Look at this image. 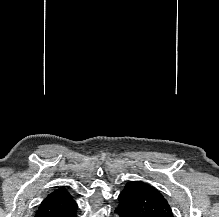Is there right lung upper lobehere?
<instances>
[{
    "label": "right lung upper lobe",
    "mask_w": 219,
    "mask_h": 217,
    "mask_svg": "<svg viewBox=\"0 0 219 217\" xmlns=\"http://www.w3.org/2000/svg\"><path fill=\"white\" fill-rule=\"evenodd\" d=\"M76 208L67 189L60 187L42 201L34 217H63Z\"/></svg>",
    "instance_id": "right-lung-upper-lobe-1"
}]
</instances>
